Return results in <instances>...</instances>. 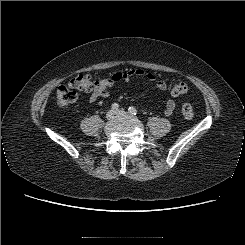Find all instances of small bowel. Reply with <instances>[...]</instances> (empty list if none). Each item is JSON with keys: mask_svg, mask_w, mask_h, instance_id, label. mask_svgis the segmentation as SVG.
I'll return each instance as SVG.
<instances>
[{"mask_svg": "<svg viewBox=\"0 0 245 245\" xmlns=\"http://www.w3.org/2000/svg\"><path fill=\"white\" fill-rule=\"evenodd\" d=\"M133 77H145L148 81L155 82L156 87L164 92L168 88V84L163 79H158L152 73H145L141 69H129L127 71L116 72L108 78L98 79L95 88L90 94V102H95L98 98H108L111 95L110 89L120 81H128ZM175 100L169 96L165 102L164 112L167 116L171 115L175 109Z\"/></svg>", "mask_w": 245, "mask_h": 245, "instance_id": "c3829d8e", "label": "small bowel"}]
</instances>
